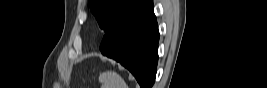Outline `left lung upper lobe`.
Returning a JSON list of instances; mask_svg holds the SVG:
<instances>
[{"mask_svg": "<svg viewBox=\"0 0 267 88\" xmlns=\"http://www.w3.org/2000/svg\"><path fill=\"white\" fill-rule=\"evenodd\" d=\"M142 0H90L91 12L100 28L107 32L119 18Z\"/></svg>", "mask_w": 267, "mask_h": 88, "instance_id": "left-lung-upper-lobe-1", "label": "left lung upper lobe"}]
</instances>
